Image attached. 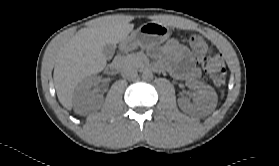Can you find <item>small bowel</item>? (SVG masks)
Wrapping results in <instances>:
<instances>
[{
	"label": "small bowel",
	"instance_id": "obj_1",
	"mask_svg": "<svg viewBox=\"0 0 279 166\" xmlns=\"http://www.w3.org/2000/svg\"><path fill=\"white\" fill-rule=\"evenodd\" d=\"M157 56L174 62L177 66L171 68V71L178 77L194 79L200 75V70L195 65L187 47L178 40L173 39L167 42L162 50L157 53ZM155 67L156 69H162L164 64L157 63Z\"/></svg>",
	"mask_w": 279,
	"mask_h": 166
}]
</instances>
